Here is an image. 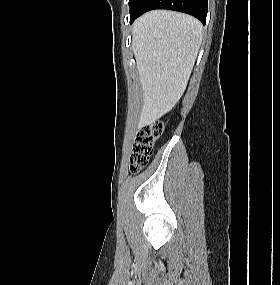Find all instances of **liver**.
Listing matches in <instances>:
<instances>
[{"label":"liver","mask_w":280,"mask_h":285,"mask_svg":"<svg viewBox=\"0 0 280 285\" xmlns=\"http://www.w3.org/2000/svg\"><path fill=\"white\" fill-rule=\"evenodd\" d=\"M202 24L190 15L154 10L132 28V49L143 91L139 127L163 116L183 95L202 38Z\"/></svg>","instance_id":"obj_1"}]
</instances>
